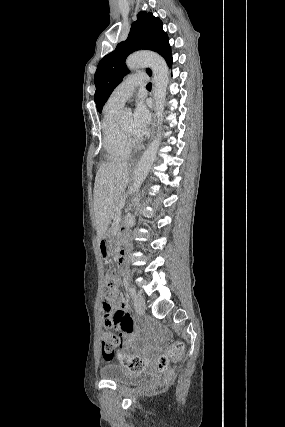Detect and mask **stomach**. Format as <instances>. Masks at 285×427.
<instances>
[{
  "instance_id": "1",
  "label": "stomach",
  "mask_w": 285,
  "mask_h": 427,
  "mask_svg": "<svg viewBox=\"0 0 285 427\" xmlns=\"http://www.w3.org/2000/svg\"><path fill=\"white\" fill-rule=\"evenodd\" d=\"M99 250L104 258H108L112 249V234L105 233L99 241Z\"/></svg>"
}]
</instances>
